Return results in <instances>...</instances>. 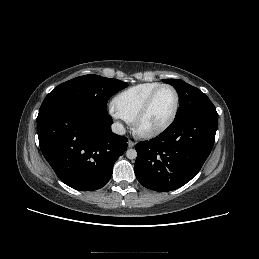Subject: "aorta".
Here are the masks:
<instances>
[{
    "mask_svg": "<svg viewBox=\"0 0 259 259\" xmlns=\"http://www.w3.org/2000/svg\"><path fill=\"white\" fill-rule=\"evenodd\" d=\"M126 156L128 159H135L137 157V152L135 149H128L126 152Z\"/></svg>",
    "mask_w": 259,
    "mask_h": 259,
    "instance_id": "1",
    "label": "aorta"
}]
</instances>
